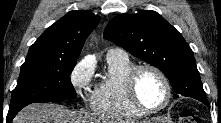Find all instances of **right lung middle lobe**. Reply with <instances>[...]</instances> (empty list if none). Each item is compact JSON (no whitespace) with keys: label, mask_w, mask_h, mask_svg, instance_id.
I'll use <instances>...</instances> for the list:
<instances>
[{"label":"right lung middle lobe","mask_w":221,"mask_h":123,"mask_svg":"<svg viewBox=\"0 0 221 123\" xmlns=\"http://www.w3.org/2000/svg\"><path fill=\"white\" fill-rule=\"evenodd\" d=\"M77 58L27 57L12 92L9 114L35 102L74 99L70 74Z\"/></svg>","instance_id":"right-lung-middle-lobe-1"}]
</instances>
